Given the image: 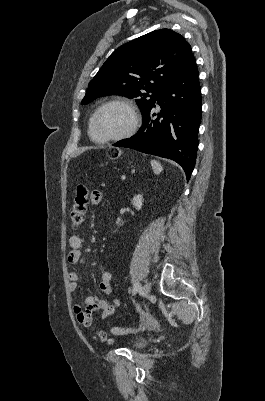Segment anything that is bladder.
<instances>
[{
	"mask_svg": "<svg viewBox=\"0 0 265 401\" xmlns=\"http://www.w3.org/2000/svg\"><path fill=\"white\" fill-rule=\"evenodd\" d=\"M148 344V338L138 337L132 341V349L141 350Z\"/></svg>",
	"mask_w": 265,
	"mask_h": 401,
	"instance_id": "obj_1",
	"label": "bladder"
}]
</instances>
